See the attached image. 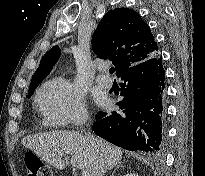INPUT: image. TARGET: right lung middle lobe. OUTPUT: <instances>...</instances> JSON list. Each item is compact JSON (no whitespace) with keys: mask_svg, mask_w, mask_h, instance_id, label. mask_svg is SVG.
<instances>
[{"mask_svg":"<svg viewBox=\"0 0 205 176\" xmlns=\"http://www.w3.org/2000/svg\"><path fill=\"white\" fill-rule=\"evenodd\" d=\"M34 90L28 91V97H30L33 94Z\"/></svg>","mask_w":205,"mask_h":176,"instance_id":"dd1d6c3e","label":"right lung middle lobe"}]
</instances>
